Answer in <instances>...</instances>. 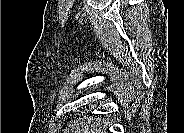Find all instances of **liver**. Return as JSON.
Listing matches in <instances>:
<instances>
[{"label":"liver","instance_id":"obj_1","mask_svg":"<svg viewBox=\"0 0 184 133\" xmlns=\"http://www.w3.org/2000/svg\"><path fill=\"white\" fill-rule=\"evenodd\" d=\"M74 133H103L100 124L97 122V119L94 117H87L84 118L82 121L80 120L79 123L76 125H70Z\"/></svg>","mask_w":184,"mask_h":133}]
</instances>
